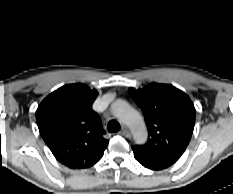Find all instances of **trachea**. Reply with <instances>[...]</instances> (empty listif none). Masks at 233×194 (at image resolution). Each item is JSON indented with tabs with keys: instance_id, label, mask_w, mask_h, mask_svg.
I'll list each match as a JSON object with an SVG mask.
<instances>
[{
	"instance_id": "3493384b",
	"label": "trachea",
	"mask_w": 233,
	"mask_h": 194,
	"mask_svg": "<svg viewBox=\"0 0 233 194\" xmlns=\"http://www.w3.org/2000/svg\"><path fill=\"white\" fill-rule=\"evenodd\" d=\"M107 129L110 133L117 132L120 130V124L116 120H110Z\"/></svg>"
}]
</instances>
